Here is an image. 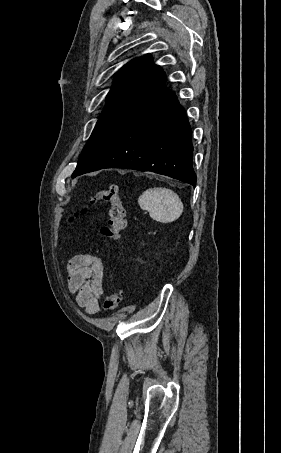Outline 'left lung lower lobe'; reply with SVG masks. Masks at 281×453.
I'll return each instance as SVG.
<instances>
[{
	"label": "left lung lower lobe",
	"instance_id": "left-lung-lower-lobe-1",
	"mask_svg": "<svg viewBox=\"0 0 281 453\" xmlns=\"http://www.w3.org/2000/svg\"><path fill=\"white\" fill-rule=\"evenodd\" d=\"M191 128L159 74L140 103L99 153L72 178L104 168L152 171L196 185Z\"/></svg>",
	"mask_w": 281,
	"mask_h": 453
}]
</instances>
